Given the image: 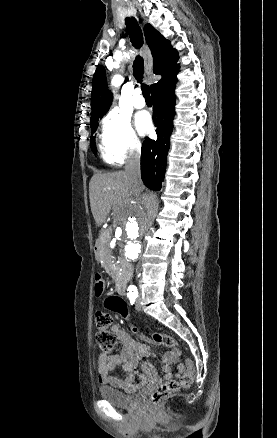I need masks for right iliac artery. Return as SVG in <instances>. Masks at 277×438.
<instances>
[{"label":"right iliac artery","mask_w":277,"mask_h":438,"mask_svg":"<svg viewBox=\"0 0 277 438\" xmlns=\"http://www.w3.org/2000/svg\"><path fill=\"white\" fill-rule=\"evenodd\" d=\"M128 297H129V300H130L131 304H134V302H135V300L137 298V295H129Z\"/></svg>","instance_id":"82829eb1"}]
</instances>
